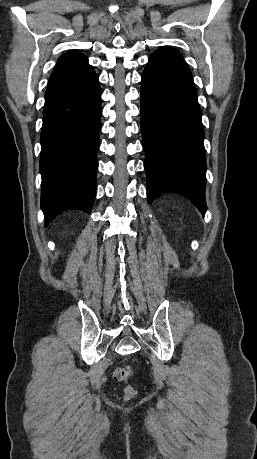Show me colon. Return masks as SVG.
<instances>
[{"instance_id": "5ec220e1", "label": "colon", "mask_w": 257, "mask_h": 459, "mask_svg": "<svg viewBox=\"0 0 257 459\" xmlns=\"http://www.w3.org/2000/svg\"><path fill=\"white\" fill-rule=\"evenodd\" d=\"M129 376V373L124 368L118 367L113 372V377L117 381L126 380ZM136 395V390L133 386L127 385L124 389V398L126 400L132 399Z\"/></svg>"}]
</instances>
